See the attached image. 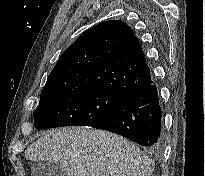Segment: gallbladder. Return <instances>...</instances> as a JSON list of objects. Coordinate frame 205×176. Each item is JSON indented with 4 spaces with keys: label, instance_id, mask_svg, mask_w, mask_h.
I'll return each mask as SVG.
<instances>
[{
    "label": "gallbladder",
    "instance_id": "bac80fb5",
    "mask_svg": "<svg viewBox=\"0 0 205 176\" xmlns=\"http://www.w3.org/2000/svg\"><path fill=\"white\" fill-rule=\"evenodd\" d=\"M31 170L32 176H66L64 168L57 162H35Z\"/></svg>",
    "mask_w": 205,
    "mask_h": 176
}]
</instances>
